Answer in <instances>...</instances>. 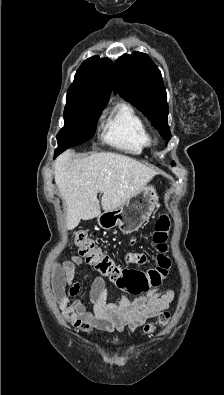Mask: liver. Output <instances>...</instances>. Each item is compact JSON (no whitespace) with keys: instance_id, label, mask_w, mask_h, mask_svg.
I'll list each match as a JSON object with an SVG mask.
<instances>
[{"instance_id":"obj_1","label":"liver","mask_w":224,"mask_h":395,"mask_svg":"<svg viewBox=\"0 0 224 395\" xmlns=\"http://www.w3.org/2000/svg\"><path fill=\"white\" fill-rule=\"evenodd\" d=\"M55 182L66 205V224L74 229L80 220L114 210L140 191L156 172L137 160L112 152L78 158L68 150L54 164Z\"/></svg>"}]
</instances>
